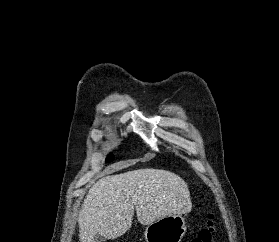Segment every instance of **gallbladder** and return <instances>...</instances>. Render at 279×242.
<instances>
[{"instance_id":"1","label":"gallbladder","mask_w":279,"mask_h":242,"mask_svg":"<svg viewBox=\"0 0 279 242\" xmlns=\"http://www.w3.org/2000/svg\"><path fill=\"white\" fill-rule=\"evenodd\" d=\"M104 238L101 235H95L94 242H103Z\"/></svg>"}]
</instances>
